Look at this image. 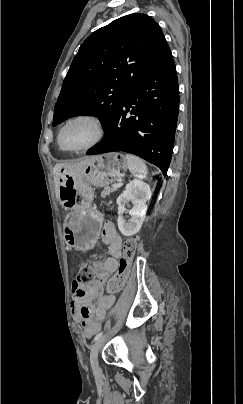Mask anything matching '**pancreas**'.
Masks as SVG:
<instances>
[{
    "mask_svg": "<svg viewBox=\"0 0 243 404\" xmlns=\"http://www.w3.org/2000/svg\"><path fill=\"white\" fill-rule=\"evenodd\" d=\"M117 188H110V186H105L104 190L101 192L102 198H106V196H109L111 192H116Z\"/></svg>",
    "mask_w": 243,
    "mask_h": 404,
    "instance_id": "cf45deb5",
    "label": "pancreas"
}]
</instances>
